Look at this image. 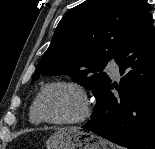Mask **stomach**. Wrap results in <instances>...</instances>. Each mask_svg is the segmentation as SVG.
<instances>
[{
  "instance_id": "0dacf381",
  "label": "stomach",
  "mask_w": 155,
  "mask_h": 149,
  "mask_svg": "<svg viewBox=\"0 0 155 149\" xmlns=\"http://www.w3.org/2000/svg\"><path fill=\"white\" fill-rule=\"evenodd\" d=\"M47 149H115L105 139L75 127L60 128L46 141Z\"/></svg>"
}]
</instances>
